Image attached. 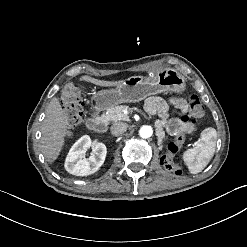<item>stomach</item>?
Wrapping results in <instances>:
<instances>
[{"label": "stomach", "instance_id": "obj_1", "mask_svg": "<svg viewBox=\"0 0 247 247\" xmlns=\"http://www.w3.org/2000/svg\"><path fill=\"white\" fill-rule=\"evenodd\" d=\"M184 77L175 69H163L155 77H130L116 89L102 90L93 97L95 109L104 110L123 102H139L148 96L164 91H181L185 87Z\"/></svg>", "mask_w": 247, "mask_h": 247}]
</instances>
